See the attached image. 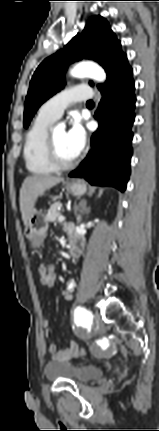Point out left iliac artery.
<instances>
[{"label": "left iliac artery", "instance_id": "obj_1", "mask_svg": "<svg viewBox=\"0 0 159 431\" xmlns=\"http://www.w3.org/2000/svg\"><path fill=\"white\" fill-rule=\"evenodd\" d=\"M74 316H75V322L78 325L85 326L86 324H90L92 322L91 312L85 309L84 307H80V306L76 307L74 310Z\"/></svg>", "mask_w": 159, "mask_h": 431}]
</instances>
